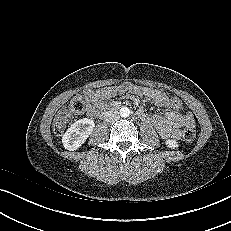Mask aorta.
Instances as JSON below:
<instances>
[{"mask_svg": "<svg viewBox=\"0 0 231 231\" xmlns=\"http://www.w3.org/2000/svg\"><path fill=\"white\" fill-rule=\"evenodd\" d=\"M121 117H128L130 115V109L128 107H122L119 112Z\"/></svg>", "mask_w": 231, "mask_h": 231, "instance_id": "1", "label": "aorta"}]
</instances>
